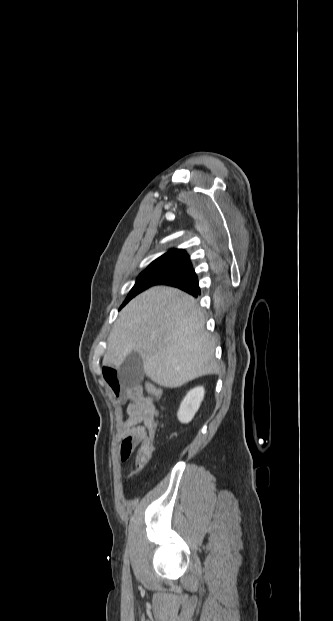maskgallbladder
I'll use <instances>...</instances> for the list:
<instances>
[{
    "mask_svg": "<svg viewBox=\"0 0 333 621\" xmlns=\"http://www.w3.org/2000/svg\"><path fill=\"white\" fill-rule=\"evenodd\" d=\"M117 378L126 387L138 385L144 378L141 356L135 352L129 354L119 367Z\"/></svg>",
    "mask_w": 333,
    "mask_h": 621,
    "instance_id": "1",
    "label": "gallbladder"
}]
</instances>
